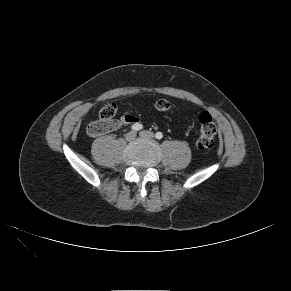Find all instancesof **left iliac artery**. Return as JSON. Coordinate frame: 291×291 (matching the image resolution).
<instances>
[{"label": "left iliac artery", "mask_w": 291, "mask_h": 291, "mask_svg": "<svg viewBox=\"0 0 291 291\" xmlns=\"http://www.w3.org/2000/svg\"><path fill=\"white\" fill-rule=\"evenodd\" d=\"M155 137H156V139H162L163 138V134L161 133V132H157L156 134H155Z\"/></svg>", "instance_id": "left-iliac-artery-1"}]
</instances>
